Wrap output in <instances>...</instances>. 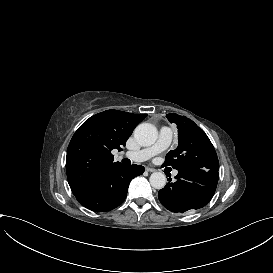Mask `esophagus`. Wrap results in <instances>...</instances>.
<instances>
[{"mask_svg": "<svg viewBox=\"0 0 273 273\" xmlns=\"http://www.w3.org/2000/svg\"><path fill=\"white\" fill-rule=\"evenodd\" d=\"M145 170H146L147 172H150V173L156 171V169L151 168V167H146Z\"/></svg>", "mask_w": 273, "mask_h": 273, "instance_id": "obj_1", "label": "esophagus"}]
</instances>
